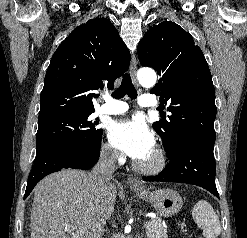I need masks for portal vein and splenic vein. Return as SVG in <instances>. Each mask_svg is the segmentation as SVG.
I'll return each instance as SVG.
<instances>
[{
    "label": "portal vein and splenic vein",
    "instance_id": "obj_1",
    "mask_svg": "<svg viewBox=\"0 0 247 238\" xmlns=\"http://www.w3.org/2000/svg\"><path fill=\"white\" fill-rule=\"evenodd\" d=\"M148 223H149L148 221H147V222H145V226H146V225H148Z\"/></svg>",
    "mask_w": 247,
    "mask_h": 238
}]
</instances>
